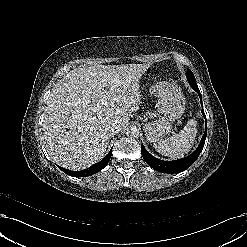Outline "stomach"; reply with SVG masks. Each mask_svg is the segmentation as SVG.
I'll list each match as a JSON object with an SVG mask.
<instances>
[{
    "instance_id": "0dacf381",
    "label": "stomach",
    "mask_w": 247,
    "mask_h": 247,
    "mask_svg": "<svg viewBox=\"0 0 247 247\" xmlns=\"http://www.w3.org/2000/svg\"><path fill=\"white\" fill-rule=\"evenodd\" d=\"M151 94L158 98L157 121L145 125V135L150 142H159L171 129L175 119L184 113L185 97L180 89L169 82H158L151 87Z\"/></svg>"
}]
</instances>
